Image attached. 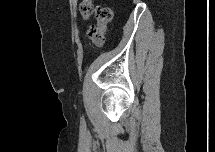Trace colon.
I'll return each instance as SVG.
<instances>
[{
  "label": "colon",
  "mask_w": 215,
  "mask_h": 152,
  "mask_svg": "<svg viewBox=\"0 0 215 152\" xmlns=\"http://www.w3.org/2000/svg\"><path fill=\"white\" fill-rule=\"evenodd\" d=\"M79 11L83 19L87 20L92 14L96 17V24L88 29V38L93 46H102L104 43V32L106 26L112 19L111 9L104 4L94 5L89 0L80 2Z\"/></svg>",
  "instance_id": "5ec220e1"
}]
</instances>
